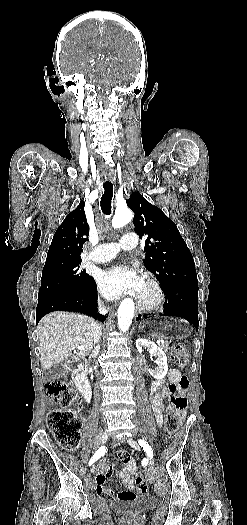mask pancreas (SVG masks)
<instances>
[{"instance_id": "cf45deb5", "label": "pancreas", "mask_w": 247, "mask_h": 525, "mask_svg": "<svg viewBox=\"0 0 247 525\" xmlns=\"http://www.w3.org/2000/svg\"><path fill=\"white\" fill-rule=\"evenodd\" d=\"M169 343H161L160 347L161 349H163V351H168L169 347H168Z\"/></svg>"}]
</instances>
